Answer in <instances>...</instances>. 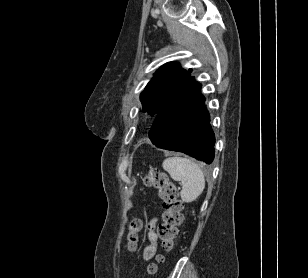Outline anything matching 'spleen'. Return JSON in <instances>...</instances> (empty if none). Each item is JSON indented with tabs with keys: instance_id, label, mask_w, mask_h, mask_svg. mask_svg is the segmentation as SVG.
<instances>
[{
	"instance_id": "spleen-1",
	"label": "spleen",
	"mask_w": 308,
	"mask_h": 278,
	"mask_svg": "<svg viewBox=\"0 0 308 278\" xmlns=\"http://www.w3.org/2000/svg\"><path fill=\"white\" fill-rule=\"evenodd\" d=\"M163 169L171 178L182 183L180 192L183 202L195 201L205 188L203 171L193 160L184 157H169L163 161Z\"/></svg>"
}]
</instances>
